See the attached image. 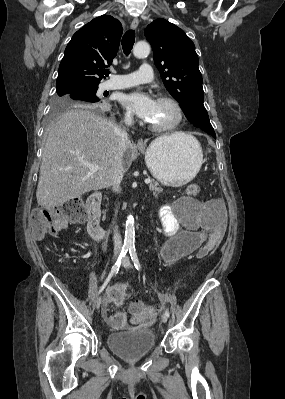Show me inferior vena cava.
Masks as SVG:
<instances>
[{
    "label": "inferior vena cava",
    "mask_w": 285,
    "mask_h": 399,
    "mask_svg": "<svg viewBox=\"0 0 285 399\" xmlns=\"http://www.w3.org/2000/svg\"><path fill=\"white\" fill-rule=\"evenodd\" d=\"M125 123L128 126L132 124V116L130 114L125 115ZM127 140H128L127 132L122 130L121 140H120V150L124 149ZM123 174H124V170H123V166H122L121 152H119V155L117 157V164H116V168H115V172H114L113 184H112L113 191L115 193L120 192V184L123 179ZM113 239H114V250L120 251L122 248V239H121V235L117 229L114 230Z\"/></svg>",
    "instance_id": "inferior-vena-cava-1"
}]
</instances>
